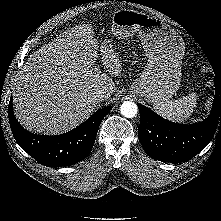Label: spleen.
<instances>
[{"instance_id": "obj_1", "label": "spleen", "mask_w": 221, "mask_h": 221, "mask_svg": "<svg viewBox=\"0 0 221 221\" xmlns=\"http://www.w3.org/2000/svg\"><path fill=\"white\" fill-rule=\"evenodd\" d=\"M196 102V93H191L177 100L158 103L153 107L158 112V114L167 118L168 120L182 123L191 116L196 106Z\"/></svg>"}]
</instances>
